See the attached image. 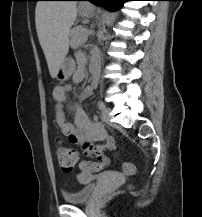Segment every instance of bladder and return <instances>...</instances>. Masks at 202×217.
Returning <instances> with one entry per match:
<instances>
[{
    "instance_id": "bladder-1",
    "label": "bladder",
    "mask_w": 202,
    "mask_h": 217,
    "mask_svg": "<svg viewBox=\"0 0 202 217\" xmlns=\"http://www.w3.org/2000/svg\"><path fill=\"white\" fill-rule=\"evenodd\" d=\"M116 174L112 172L101 173V174H92L89 172H83L78 175V182L80 184V188L73 193H64L63 199L68 204H83L87 203L95 195L96 192V184L95 180L99 178H115Z\"/></svg>"
}]
</instances>
